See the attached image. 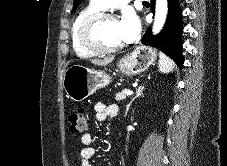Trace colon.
<instances>
[{"instance_id": "colon-1", "label": "colon", "mask_w": 227, "mask_h": 166, "mask_svg": "<svg viewBox=\"0 0 227 166\" xmlns=\"http://www.w3.org/2000/svg\"><path fill=\"white\" fill-rule=\"evenodd\" d=\"M68 120L69 130L72 133L84 132L88 127V119L83 108L72 111Z\"/></svg>"}]
</instances>
